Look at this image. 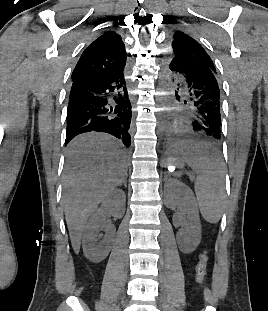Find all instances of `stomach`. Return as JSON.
Segmentation results:
<instances>
[{"label":"stomach","instance_id":"1","mask_svg":"<svg viewBox=\"0 0 268 311\" xmlns=\"http://www.w3.org/2000/svg\"><path fill=\"white\" fill-rule=\"evenodd\" d=\"M188 147L187 146H180L174 149L171 153L170 158L167 161L168 166H173L174 168L181 169L184 167L186 162V158H189L190 155L188 154ZM176 176H180L181 172H175Z\"/></svg>","mask_w":268,"mask_h":311}]
</instances>
